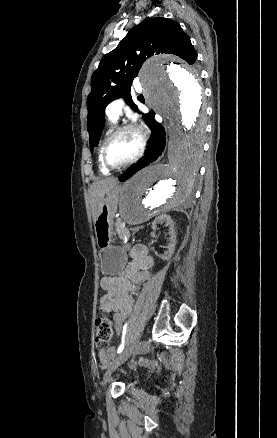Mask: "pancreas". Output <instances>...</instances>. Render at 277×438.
Segmentation results:
<instances>
[{"label": "pancreas", "mask_w": 277, "mask_h": 438, "mask_svg": "<svg viewBox=\"0 0 277 438\" xmlns=\"http://www.w3.org/2000/svg\"><path fill=\"white\" fill-rule=\"evenodd\" d=\"M126 232L127 230H125L124 228H117L115 233L117 237H124Z\"/></svg>", "instance_id": "1"}]
</instances>
